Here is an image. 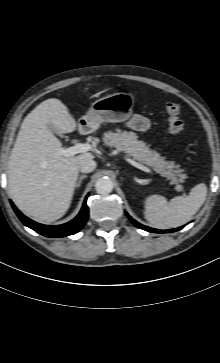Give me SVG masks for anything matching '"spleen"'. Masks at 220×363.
Instances as JSON below:
<instances>
[{"label": "spleen", "mask_w": 220, "mask_h": 363, "mask_svg": "<svg viewBox=\"0 0 220 363\" xmlns=\"http://www.w3.org/2000/svg\"><path fill=\"white\" fill-rule=\"evenodd\" d=\"M207 186L199 183L187 196H177L169 202L161 195H151L145 200V218L159 229L175 228L189 221L203 205Z\"/></svg>", "instance_id": "spleen-1"}]
</instances>
